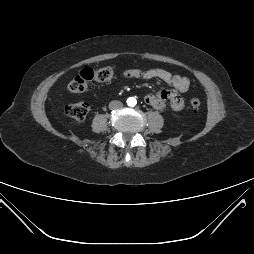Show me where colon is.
<instances>
[{"mask_svg": "<svg viewBox=\"0 0 254 254\" xmlns=\"http://www.w3.org/2000/svg\"><path fill=\"white\" fill-rule=\"evenodd\" d=\"M115 74L114 67L107 66L99 69L84 68L68 84V91L72 94L81 93L92 83L110 81ZM190 104L194 109L201 106L199 98H192ZM89 112V105L85 102L69 103L65 106L66 115L74 121H83Z\"/></svg>", "mask_w": 254, "mask_h": 254, "instance_id": "1", "label": "colon"}]
</instances>
